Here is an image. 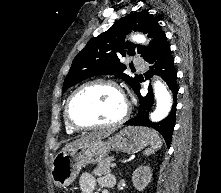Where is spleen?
I'll use <instances>...</instances> for the list:
<instances>
[{"label":"spleen","instance_id":"1","mask_svg":"<svg viewBox=\"0 0 221 193\" xmlns=\"http://www.w3.org/2000/svg\"><path fill=\"white\" fill-rule=\"evenodd\" d=\"M162 145L163 143L159 134L156 131L152 130L151 139H150V148L145 150V155L149 156L153 154L156 150L160 149Z\"/></svg>","mask_w":221,"mask_h":193}]
</instances>
